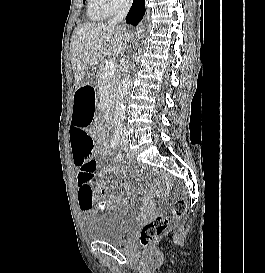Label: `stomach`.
<instances>
[{
    "instance_id": "stomach-1",
    "label": "stomach",
    "mask_w": 265,
    "mask_h": 273,
    "mask_svg": "<svg viewBox=\"0 0 265 273\" xmlns=\"http://www.w3.org/2000/svg\"><path fill=\"white\" fill-rule=\"evenodd\" d=\"M77 90H96V85H94V82L92 79L88 78L82 85L76 86Z\"/></svg>"
}]
</instances>
